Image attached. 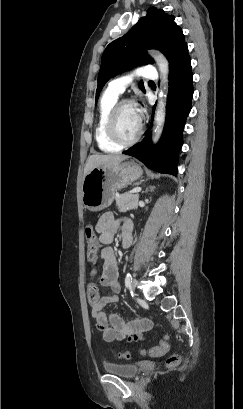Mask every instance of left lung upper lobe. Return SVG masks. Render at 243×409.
<instances>
[{
  "label": "left lung upper lobe",
  "mask_w": 243,
  "mask_h": 409,
  "mask_svg": "<svg viewBox=\"0 0 243 409\" xmlns=\"http://www.w3.org/2000/svg\"><path fill=\"white\" fill-rule=\"evenodd\" d=\"M174 19L162 9L151 7L128 33L106 47L98 74L96 100L110 78L137 65L153 62L146 54L147 49L160 50L171 62L185 44L183 32ZM139 88L145 92L143 82H139Z\"/></svg>",
  "instance_id": "1"
}]
</instances>
